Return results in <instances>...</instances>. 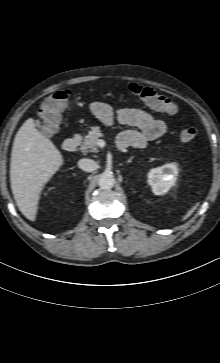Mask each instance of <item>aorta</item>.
Returning a JSON list of instances; mask_svg holds the SVG:
<instances>
[{"label":"aorta","instance_id":"1","mask_svg":"<svg viewBox=\"0 0 220 363\" xmlns=\"http://www.w3.org/2000/svg\"><path fill=\"white\" fill-rule=\"evenodd\" d=\"M98 184L101 189H111L115 184L114 175L111 172H104L100 175Z\"/></svg>","mask_w":220,"mask_h":363}]
</instances>
